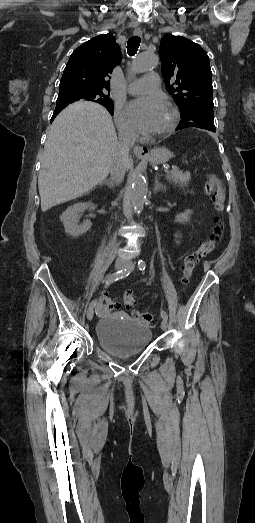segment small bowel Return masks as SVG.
Returning <instances> with one entry per match:
<instances>
[{
	"label": "small bowel",
	"instance_id": "c3829d8e",
	"mask_svg": "<svg viewBox=\"0 0 255 523\" xmlns=\"http://www.w3.org/2000/svg\"><path fill=\"white\" fill-rule=\"evenodd\" d=\"M176 238H177V239H179V238H180V234H179V233H178V234L176 235Z\"/></svg>",
	"mask_w": 255,
	"mask_h": 523
}]
</instances>
